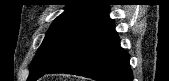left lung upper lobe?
<instances>
[{
    "instance_id": "obj_1",
    "label": "left lung upper lobe",
    "mask_w": 169,
    "mask_h": 81,
    "mask_svg": "<svg viewBox=\"0 0 169 81\" xmlns=\"http://www.w3.org/2000/svg\"><path fill=\"white\" fill-rule=\"evenodd\" d=\"M68 3L65 12L54 20L33 58L28 81L46 73L79 32L109 11V5L104 1L70 0Z\"/></svg>"
}]
</instances>
